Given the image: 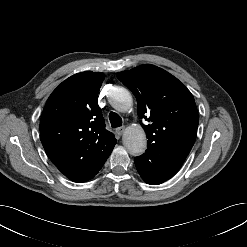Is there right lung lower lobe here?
<instances>
[{
	"label": "right lung lower lobe",
	"instance_id": "98d812e1",
	"mask_svg": "<svg viewBox=\"0 0 247 247\" xmlns=\"http://www.w3.org/2000/svg\"><path fill=\"white\" fill-rule=\"evenodd\" d=\"M105 161H102V162L98 163L97 165H95L94 167H92V168H90V169H88V170H86L84 172H81V173H78L76 175L70 176L68 178L70 180L74 181V182L87 181V180L91 179L92 177H94L98 173V171L102 168V166L105 163Z\"/></svg>",
	"mask_w": 247,
	"mask_h": 247
}]
</instances>
